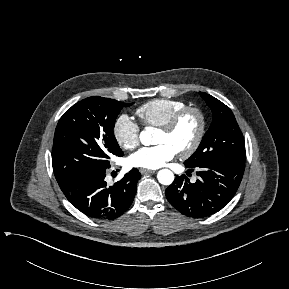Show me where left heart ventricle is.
I'll return each mask as SVG.
<instances>
[{
  "instance_id": "left-heart-ventricle-1",
  "label": "left heart ventricle",
  "mask_w": 289,
  "mask_h": 289,
  "mask_svg": "<svg viewBox=\"0 0 289 289\" xmlns=\"http://www.w3.org/2000/svg\"><path fill=\"white\" fill-rule=\"evenodd\" d=\"M199 126V120L195 114H188L179 123L177 128L171 133L158 131L155 143H167L171 145L176 152L187 148L194 140Z\"/></svg>"
}]
</instances>
